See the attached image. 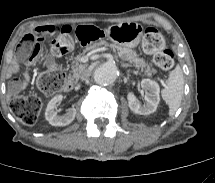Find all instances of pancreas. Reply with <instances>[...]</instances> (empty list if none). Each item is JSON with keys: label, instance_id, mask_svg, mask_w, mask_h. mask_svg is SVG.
<instances>
[{"label": "pancreas", "instance_id": "pancreas-1", "mask_svg": "<svg viewBox=\"0 0 215 183\" xmlns=\"http://www.w3.org/2000/svg\"><path fill=\"white\" fill-rule=\"evenodd\" d=\"M101 46L111 47L113 49H116L119 57L122 60L129 61L131 64H133L134 67H136L137 69H141V71H143L144 74L147 75L148 77H151L152 74L155 72L151 64H149L148 62H145L143 59L138 58L137 53L131 50L130 48L122 47L115 43H108L105 40H101L99 42L93 43L92 45L86 47V49L83 50L81 54L75 57V61L72 62V66H71L72 77L74 79H79L81 76V73L87 68V65L80 63L81 56L86 52L95 50Z\"/></svg>", "mask_w": 215, "mask_h": 183}]
</instances>
